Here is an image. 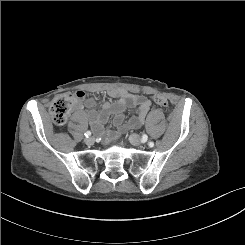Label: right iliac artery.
I'll use <instances>...</instances> for the list:
<instances>
[{"instance_id": "obj_1", "label": "right iliac artery", "mask_w": 245, "mask_h": 245, "mask_svg": "<svg viewBox=\"0 0 245 245\" xmlns=\"http://www.w3.org/2000/svg\"><path fill=\"white\" fill-rule=\"evenodd\" d=\"M86 137H90L91 136V132L90 131H87V132H85V134H84Z\"/></svg>"}]
</instances>
